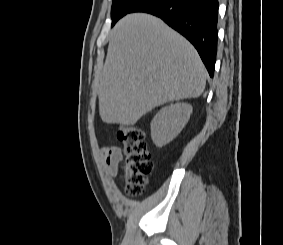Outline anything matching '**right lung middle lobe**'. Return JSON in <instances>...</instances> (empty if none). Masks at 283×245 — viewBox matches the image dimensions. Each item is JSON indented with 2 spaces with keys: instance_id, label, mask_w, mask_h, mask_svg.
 <instances>
[{
  "instance_id": "1",
  "label": "right lung middle lobe",
  "mask_w": 283,
  "mask_h": 245,
  "mask_svg": "<svg viewBox=\"0 0 283 245\" xmlns=\"http://www.w3.org/2000/svg\"><path fill=\"white\" fill-rule=\"evenodd\" d=\"M144 0H113L111 9L112 26L118 19L130 13L138 4Z\"/></svg>"
}]
</instances>
